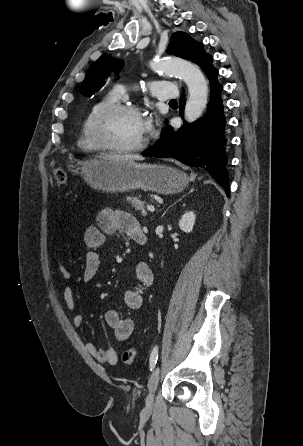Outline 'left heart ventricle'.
Masks as SVG:
<instances>
[{
    "label": "left heart ventricle",
    "instance_id": "obj_1",
    "mask_svg": "<svg viewBox=\"0 0 303 446\" xmlns=\"http://www.w3.org/2000/svg\"><path fill=\"white\" fill-rule=\"evenodd\" d=\"M107 140L117 146H130L146 137L142 116L135 113H120L111 116L105 124Z\"/></svg>",
    "mask_w": 303,
    "mask_h": 446
}]
</instances>
